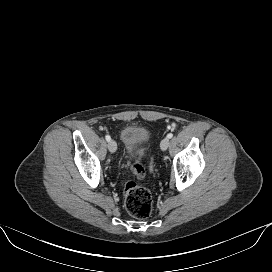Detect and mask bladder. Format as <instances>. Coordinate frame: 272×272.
<instances>
[{"label": "bladder", "instance_id": "bladder-1", "mask_svg": "<svg viewBox=\"0 0 272 272\" xmlns=\"http://www.w3.org/2000/svg\"><path fill=\"white\" fill-rule=\"evenodd\" d=\"M121 139L126 151L133 156L148 142L149 132L142 126L128 125L121 131Z\"/></svg>", "mask_w": 272, "mask_h": 272}]
</instances>
